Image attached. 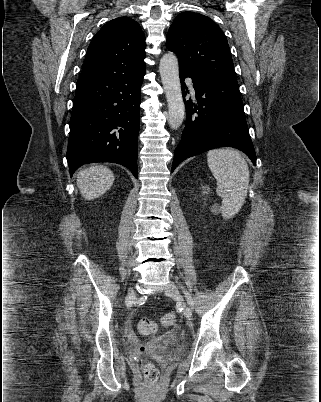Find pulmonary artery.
I'll list each match as a JSON object with an SVG mask.
<instances>
[{
    "instance_id": "obj_1",
    "label": "pulmonary artery",
    "mask_w": 321,
    "mask_h": 402,
    "mask_svg": "<svg viewBox=\"0 0 321 402\" xmlns=\"http://www.w3.org/2000/svg\"><path fill=\"white\" fill-rule=\"evenodd\" d=\"M186 82H187V84L189 85L191 92L194 93L195 90H194V88H193V86H192L191 79L187 78V79H186Z\"/></svg>"
}]
</instances>
